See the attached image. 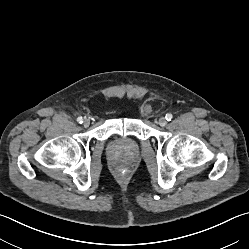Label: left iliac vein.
<instances>
[{
	"mask_svg": "<svg viewBox=\"0 0 249 249\" xmlns=\"http://www.w3.org/2000/svg\"><path fill=\"white\" fill-rule=\"evenodd\" d=\"M157 123L160 125V126H165L167 121L165 119V117H160L158 120H157Z\"/></svg>",
	"mask_w": 249,
	"mask_h": 249,
	"instance_id": "obj_1",
	"label": "left iliac vein"
}]
</instances>
